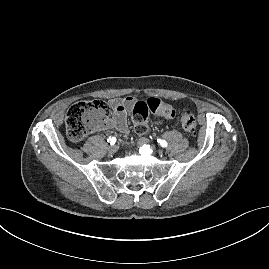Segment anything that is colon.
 <instances>
[{
	"instance_id": "1",
	"label": "colon",
	"mask_w": 269,
	"mask_h": 269,
	"mask_svg": "<svg viewBox=\"0 0 269 269\" xmlns=\"http://www.w3.org/2000/svg\"><path fill=\"white\" fill-rule=\"evenodd\" d=\"M108 111L107 104L101 100H88L73 104L69 108L65 120L68 137L72 141L83 139L88 133L98 129L104 123ZM150 113H159L165 117H173L178 114L182 128L190 136L196 135L197 123L190 110L176 111L171 105L156 98L135 103L132 118L138 134L146 132L147 118Z\"/></svg>"
}]
</instances>
